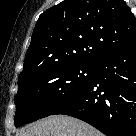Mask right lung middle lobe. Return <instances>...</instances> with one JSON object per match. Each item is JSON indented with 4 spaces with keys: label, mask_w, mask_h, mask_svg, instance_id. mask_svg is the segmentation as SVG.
Returning a JSON list of instances; mask_svg holds the SVG:
<instances>
[{
    "label": "right lung middle lobe",
    "mask_w": 136,
    "mask_h": 136,
    "mask_svg": "<svg viewBox=\"0 0 136 136\" xmlns=\"http://www.w3.org/2000/svg\"><path fill=\"white\" fill-rule=\"evenodd\" d=\"M95 64L52 66L18 83L15 126L51 115L83 91L93 79Z\"/></svg>",
    "instance_id": "right-lung-middle-lobe-1"
}]
</instances>
